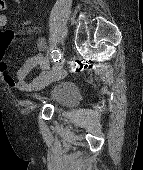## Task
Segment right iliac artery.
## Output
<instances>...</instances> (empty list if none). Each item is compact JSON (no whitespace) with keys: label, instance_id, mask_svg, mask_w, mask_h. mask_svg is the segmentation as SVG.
Wrapping results in <instances>:
<instances>
[{"label":"right iliac artery","instance_id":"obj_1","mask_svg":"<svg viewBox=\"0 0 143 170\" xmlns=\"http://www.w3.org/2000/svg\"><path fill=\"white\" fill-rule=\"evenodd\" d=\"M62 57V54L59 50L55 49L51 52V58L54 62L59 61Z\"/></svg>","mask_w":143,"mask_h":170}]
</instances>
